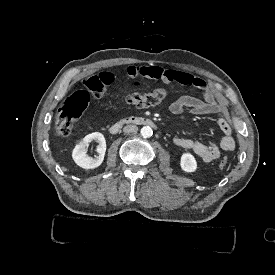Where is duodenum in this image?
Here are the masks:
<instances>
[{"label":"duodenum","instance_id":"1","mask_svg":"<svg viewBox=\"0 0 275 275\" xmlns=\"http://www.w3.org/2000/svg\"><path fill=\"white\" fill-rule=\"evenodd\" d=\"M134 125V126H149L155 128V122L148 117H130L127 119L119 120L109 127V132L111 134L118 133L124 126Z\"/></svg>","mask_w":275,"mask_h":275}]
</instances>
